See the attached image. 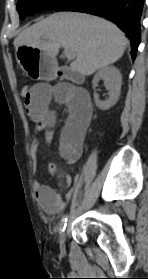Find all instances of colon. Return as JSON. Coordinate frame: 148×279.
Here are the masks:
<instances>
[{
	"label": "colon",
	"instance_id": "obj_1",
	"mask_svg": "<svg viewBox=\"0 0 148 279\" xmlns=\"http://www.w3.org/2000/svg\"><path fill=\"white\" fill-rule=\"evenodd\" d=\"M30 89L31 87H29L28 85H24L20 88V94L24 99H27L29 97Z\"/></svg>",
	"mask_w": 148,
	"mask_h": 279
}]
</instances>
